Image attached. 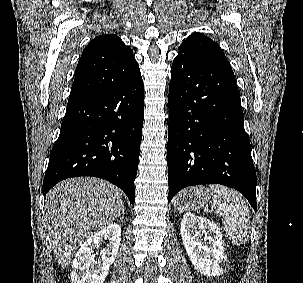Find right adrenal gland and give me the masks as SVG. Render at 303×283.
Returning a JSON list of instances; mask_svg holds the SVG:
<instances>
[{"label": "right adrenal gland", "instance_id": "right-adrenal-gland-1", "mask_svg": "<svg viewBox=\"0 0 303 283\" xmlns=\"http://www.w3.org/2000/svg\"><path fill=\"white\" fill-rule=\"evenodd\" d=\"M125 215L124 209L122 210V217Z\"/></svg>", "mask_w": 303, "mask_h": 283}]
</instances>
